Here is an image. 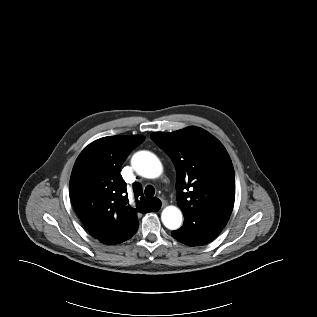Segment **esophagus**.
<instances>
[{"label":"esophagus","instance_id":"34e87169","mask_svg":"<svg viewBox=\"0 0 317 317\" xmlns=\"http://www.w3.org/2000/svg\"><path fill=\"white\" fill-rule=\"evenodd\" d=\"M161 202H162V206L165 207L167 205V201L164 200L163 198H160Z\"/></svg>","mask_w":317,"mask_h":317}]
</instances>
